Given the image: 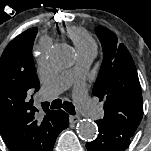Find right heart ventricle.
I'll return each instance as SVG.
<instances>
[{
	"label": "right heart ventricle",
	"instance_id": "obj_1",
	"mask_svg": "<svg viewBox=\"0 0 151 151\" xmlns=\"http://www.w3.org/2000/svg\"><path fill=\"white\" fill-rule=\"evenodd\" d=\"M65 33L74 43L78 53L90 50L96 51V42L84 29L79 27H68Z\"/></svg>",
	"mask_w": 151,
	"mask_h": 151
}]
</instances>
